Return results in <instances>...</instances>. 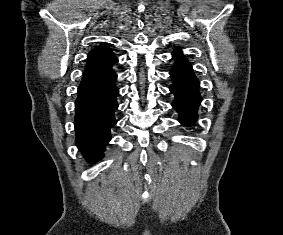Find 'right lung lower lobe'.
I'll list each match as a JSON object with an SVG mask.
<instances>
[{
  "label": "right lung lower lobe",
  "instance_id": "1",
  "mask_svg": "<svg viewBox=\"0 0 283 235\" xmlns=\"http://www.w3.org/2000/svg\"><path fill=\"white\" fill-rule=\"evenodd\" d=\"M117 75L111 71L82 80L75 103L76 144L90 161L102 158L110 141V129L117 123L114 112L118 108L115 86Z\"/></svg>",
  "mask_w": 283,
  "mask_h": 235
}]
</instances>
